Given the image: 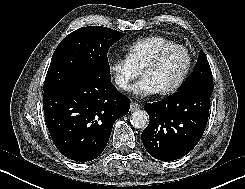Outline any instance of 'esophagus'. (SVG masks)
I'll use <instances>...</instances> for the list:
<instances>
[{
  "mask_svg": "<svg viewBox=\"0 0 245 189\" xmlns=\"http://www.w3.org/2000/svg\"><path fill=\"white\" fill-rule=\"evenodd\" d=\"M139 108H140V105L137 104L136 102H131V103H130V111H131V112H133V111H135V110H137V109H139Z\"/></svg>",
  "mask_w": 245,
  "mask_h": 189,
  "instance_id": "34e87169",
  "label": "esophagus"
}]
</instances>
